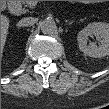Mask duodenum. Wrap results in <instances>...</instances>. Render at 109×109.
I'll return each instance as SVG.
<instances>
[{"label": "duodenum", "mask_w": 109, "mask_h": 109, "mask_svg": "<svg viewBox=\"0 0 109 109\" xmlns=\"http://www.w3.org/2000/svg\"><path fill=\"white\" fill-rule=\"evenodd\" d=\"M10 8L12 9V10H18L19 9V7H17L15 4H10Z\"/></svg>", "instance_id": "obj_1"}]
</instances>
